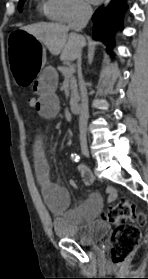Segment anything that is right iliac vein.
I'll list each match as a JSON object with an SVG mask.
<instances>
[{"label":"right iliac vein","instance_id":"63e3f726","mask_svg":"<svg viewBox=\"0 0 148 279\" xmlns=\"http://www.w3.org/2000/svg\"><path fill=\"white\" fill-rule=\"evenodd\" d=\"M82 152L87 158H89V151H88L87 147H83Z\"/></svg>","mask_w":148,"mask_h":279}]
</instances>
